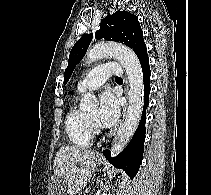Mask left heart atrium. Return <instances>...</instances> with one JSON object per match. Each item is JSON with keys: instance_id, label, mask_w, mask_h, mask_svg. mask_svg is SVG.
<instances>
[{"instance_id": "1", "label": "left heart atrium", "mask_w": 211, "mask_h": 195, "mask_svg": "<svg viewBox=\"0 0 211 195\" xmlns=\"http://www.w3.org/2000/svg\"><path fill=\"white\" fill-rule=\"evenodd\" d=\"M120 113L117 97L110 91L104 92L100 97V111L98 119L103 126L113 125Z\"/></svg>"}]
</instances>
